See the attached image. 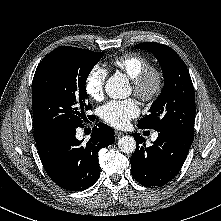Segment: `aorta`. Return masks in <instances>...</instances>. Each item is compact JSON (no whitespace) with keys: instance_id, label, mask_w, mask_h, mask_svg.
<instances>
[{"instance_id":"762f6f07","label":"aorta","mask_w":221,"mask_h":221,"mask_svg":"<svg viewBox=\"0 0 221 221\" xmlns=\"http://www.w3.org/2000/svg\"><path fill=\"white\" fill-rule=\"evenodd\" d=\"M105 91L113 99H125L131 94L129 81L121 73L111 76L106 81ZM118 147L123 153H133L136 149V141L132 136H123L118 140Z\"/></svg>"}]
</instances>
